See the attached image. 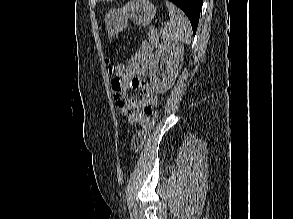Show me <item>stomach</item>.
Returning <instances> with one entry per match:
<instances>
[{
	"instance_id": "obj_1",
	"label": "stomach",
	"mask_w": 293,
	"mask_h": 219,
	"mask_svg": "<svg viewBox=\"0 0 293 219\" xmlns=\"http://www.w3.org/2000/svg\"><path fill=\"white\" fill-rule=\"evenodd\" d=\"M155 14L156 7L148 0H131L121 8L110 9L104 15L108 37H116L127 27L129 20L138 26H147Z\"/></svg>"
}]
</instances>
